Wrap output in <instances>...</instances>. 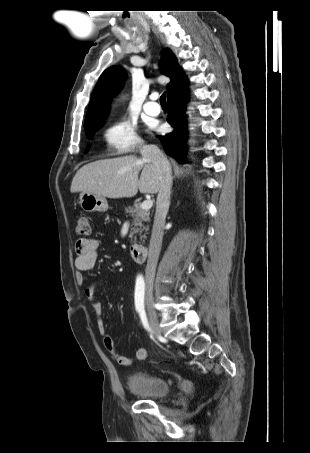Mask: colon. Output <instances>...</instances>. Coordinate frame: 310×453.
I'll return each mask as SVG.
<instances>
[{"mask_svg":"<svg viewBox=\"0 0 310 453\" xmlns=\"http://www.w3.org/2000/svg\"><path fill=\"white\" fill-rule=\"evenodd\" d=\"M76 233L79 235H88L90 233L89 218L84 214L80 215L77 220Z\"/></svg>","mask_w":310,"mask_h":453,"instance_id":"5ec220e1","label":"colon"}]
</instances>
